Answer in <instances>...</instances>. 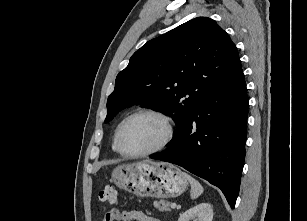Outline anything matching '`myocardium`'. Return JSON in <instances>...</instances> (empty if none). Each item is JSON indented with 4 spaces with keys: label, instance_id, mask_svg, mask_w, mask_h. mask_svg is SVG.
I'll return each instance as SVG.
<instances>
[{
    "label": "myocardium",
    "instance_id": "obj_1",
    "mask_svg": "<svg viewBox=\"0 0 307 221\" xmlns=\"http://www.w3.org/2000/svg\"><path fill=\"white\" fill-rule=\"evenodd\" d=\"M142 115H150L158 118L164 125L165 128V135L161 142L155 146L154 148L147 150L145 152L141 153H128L124 150L122 146V138L123 134L128 126V124L135 119L136 117L142 116ZM175 133V126L173 123V120L170 116H168L166 113L156 110V109H141L138 110L131 115H129L122 123V125L119 128V131L117 133V138H116V147L117 151L124 157L126 158H142V157H147L152 154H155L161 150H163L173 139Z\"/></svg>",
    "mask_w": 307,
    "mask_h": 221
}]
</instances>
